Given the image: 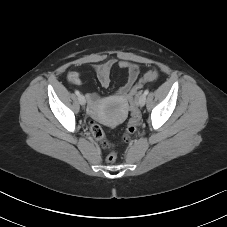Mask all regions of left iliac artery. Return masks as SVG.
<instances>
[{
    "instance_id": "obj_1",
    "label": "left iliac artery",
    "mask_w": 227,
    "mask_h": 227,
    "mask_svg": "<svg viewBox=\"0 0 227 227\" xmlns=\"http://www.w3.org/2000/svg\"><path fill=\"white\" fill-rule=\"evenodd\" d=\"M148 93H149V90L146 89V90L144 91V95L146 96V95H148Z\"/></svg>"
}]
</instances>
